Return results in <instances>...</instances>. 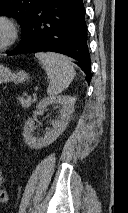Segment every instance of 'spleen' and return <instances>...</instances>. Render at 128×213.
I'll use <instances>...</instances> for the list:
<instances>
[{
  "label": "spleen",
  "mask_w": 128,
  "mask_h": 213,
  "mask_svg": "<svg viewBox=\"0 0 128 213\" xmlns=\"http://www.w3.org/2000/svg\"><path fill=\"white\" fill-rule=\"evenodd\" d=\"M35 57L41 61L50 79L47 94L54 97L62 93L73 81L76 74L71 59L52 52H39L35 54Z\"/></svg>",
  "instance_id": "1"
}]
</instances>
